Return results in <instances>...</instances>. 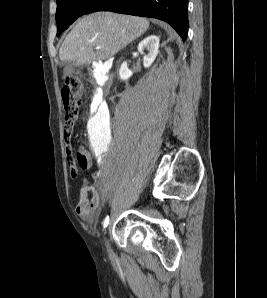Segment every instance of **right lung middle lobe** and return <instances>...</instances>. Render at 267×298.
Returning <instances> with one entry per match:
<instances>
[{"label":"right lung middle lobe","instance_id":"obj_1","mask_svg":"<svg viewBox=\"0 0 267 298\" xmlns=\"http://www.w3.org/2000/svg\"><path fill=\"white\" fill-rule=\"evenodd\" d=\"M100 0H57V35L59 36L78 17L88 14Z\"/></svg>","mask_w":267,"mask_h":298}]
</instances>
